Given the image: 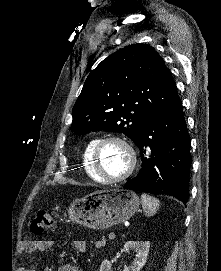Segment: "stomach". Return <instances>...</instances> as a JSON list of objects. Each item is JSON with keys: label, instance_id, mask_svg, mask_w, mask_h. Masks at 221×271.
Instances as JSON below:
<instances>
[{"label": "stomach", "instance_id": "1", "mask_svg": "<svg viewBox=\"0 0 221 271\" xmlns=\"http://www.w3.org/2000/svg\"><path fill=\"white\" fill-rule=\"evenodd\" d=\"M141 201L131 189H109V191H94L83 199L70 202V213L74 223L92 227V229H107L111 225L130 219L137 211Z\"/></svg>", "mask_w": 221, "mask_h": 271}]
</instances>
